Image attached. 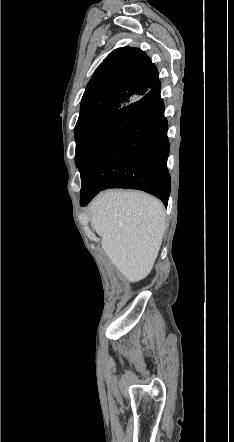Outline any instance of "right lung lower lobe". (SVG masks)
I'll use <instances>...</instances> for the list:
<instances>
[{"mask_svg": "<svg viewBox=\"0 0 234 442\" xmlns=\"http://www.w3.org/2000/svg\"><path fill=\"white\" fill-rule=\"evenodd\" d=\"M160 82L121 108L79 166L81 205L100 190L130 188L148 192L167 206L169 142Z\"/></svg>", "mask_w": 234, "mask_h": 442, "instance_id": "obj_1", "label": "right lung lower lobe"}]
</instances>
